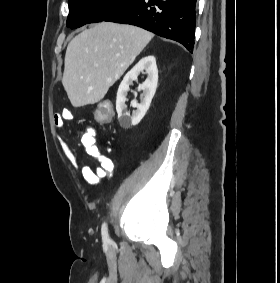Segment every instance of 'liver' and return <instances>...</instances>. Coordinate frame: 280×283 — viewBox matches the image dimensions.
<instances>
[{"instance_id": "obj_1", "label": "liver", "mask_w": 280, "mask_h": 283, "mask_svg": "<svg viewBox=\"0 0 280 283\" xmlns=\"http://www.w3.org/2000/svg\"><path fill=\"white\" fill-rule=\"evenodd\" d=\"M142 28L101 22L67 46L62 84L74 107L101 101L153 38Z\"/></svg>"}]
</instances>
